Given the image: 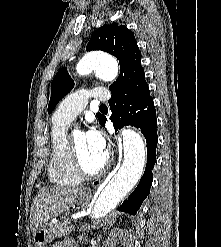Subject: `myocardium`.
Wrapping results in <instances>:
<instances>
[{
	"label": "myocardium",
	"instance_id": "f54148a6",
	"mask_svg": "<svg viewBox=\"0 0 221 247\" xmlns=\"http://www.w3.org/2000/svg\"><path fill=\"white\" fill-rule=\"evenodd\" d=\"M69 148H70V154H71V159L74 165V169L81 178L91 179V178L98 177L103 172H105L110 165L111 156L107 152L105 153V158H104L102 165L98 169H96L94 172H89L84 168L82 164V161L78 154L77 147H76L73 136L69 139Z\"/></svg>",
	"mask_w": 221,
	"mask_h": 247
}]
</instances>
